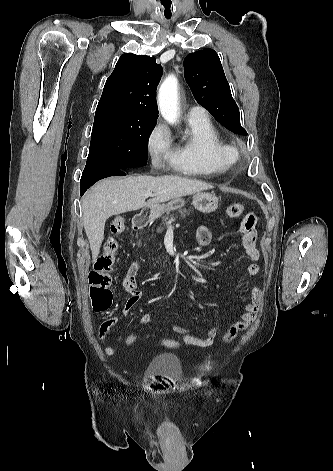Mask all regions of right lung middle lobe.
I'll list each match as a JSON object with an SVG mask.
<instances>
[{
  "label": "right lung middle lobe",
  "mask_w": 333,
  "mask_h": 471,
  "mask_svg": "<svg viewBox=\"0 0 333 471\" xmlns=\"http://www.w3.org/2000/svg\"><path fill=\"white\" fill-rule=\"evenodd\" d=\"M156 123L116 115L95 117L85 168L145 166L148 139Z\"/></svg>",
  "instance_id": "1"
}]
</instances>
